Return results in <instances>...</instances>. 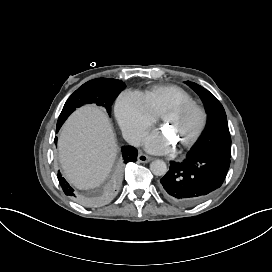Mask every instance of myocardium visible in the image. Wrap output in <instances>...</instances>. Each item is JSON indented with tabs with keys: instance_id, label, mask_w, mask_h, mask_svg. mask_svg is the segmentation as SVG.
Masks as SVG:
<instances>
[{
	"instance_id": "obj_1",
	"label": "myocardium",
	"mask_w": 272,
	"mask_h": 272,
	"mask_svg": "<svg viewBox=\"0 0 272 272\" xmlns=\"http://www.w3.org/2000/svg\"><path fill=\"white\" fill-rule=\"evenodd\" d=\"M194 112L196 114V121L192 128L189 131V134L187 137L183 140V144L185 146L191 144L194 139L198 136L200 133V130L202 129L205 121V112L204 110L198 106L195 103L192 102H181V101H175L170 103L162 112L163 117L168 112H175V113H181V112Z\"/></svg>"
}]
</instances>
